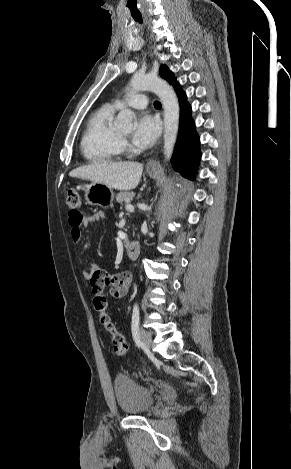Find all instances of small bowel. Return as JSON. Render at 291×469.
<instances>
[{"label":"small bowel","instance_id":"obj_1","mask_svg":"<svg viewBox=\"0 0 291 469\" xmlns=\"http://www.w3.org/2000/svg\"><path fill=\"white\" fill-rule=\"evenodd\" d=\"M103 213L98 212L90 216L77 217L69 214L68 223L70 226V236L74 243H78L82 237V229L88 228L91 223L99 221ZM79 263L86 266L85 276L89 280L90 288L94 296L97 293H103L106 286L110 287V295L114 298H122L128 291L131 282V273L128 271L109 274L104 269L94 263H88L82 254L78 257Z\"/></svg>","mask_w":291,"mask_h":469}]
</instances>
